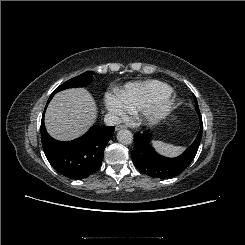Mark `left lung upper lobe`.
I'll use <instances>...</instances> for the list:
<instances>
[{
  "instance_id": "1",
  "label": "left lung upper lobe",
  "mask_w": 245,
  "mask_h": 245,
  "mask_svg": "<svg viewBox=\"0 0 245 245\" xmlns=\"http://www.w3.org/2000/svg\"><path fill=\"white\" fill-rule=\"evenodd\" d=\"M194 101H195V107H196V110H197L199 116L201 117V114H200V110H199V107H198V103H197L196 97H195V100H194Z\"/></svg>"
}]
</instances>
